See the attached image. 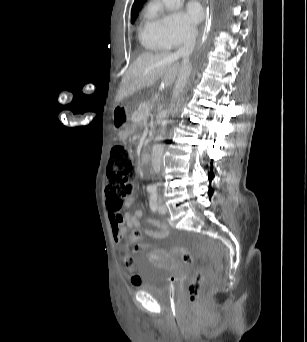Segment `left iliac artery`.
Masks as SVG:
<instances>
[{
    "mask_svg": "<svg viewBox=\"0 0 307 342\" xmlns=\"http://www.w3.org/2000/svg\"><path fill=\"white\" fill-rule=\"evenodd\" d=\"M154 191L151 193L150 196V207L153 211H156L157 208V188L153 187Z\"/></svg>",
    "mask_w": 307,
    "mask_h": 342,
    "instance_id": "obj_1",
    "label": "left iliac artery"
}]
</instances>
